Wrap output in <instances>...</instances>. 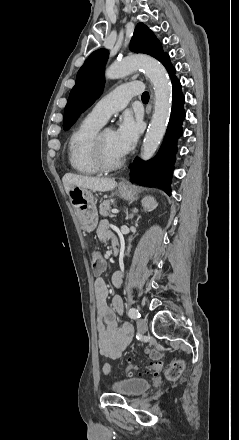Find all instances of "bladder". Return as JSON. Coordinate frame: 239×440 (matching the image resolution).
<instances>
[{"instance_id": "31cf9c89", "label": "bladder", "mask_w": 239, "mask_h": 440, "mask_svg": "<svg viewBox=\"0 0 239 440\" xmlns=\"http://www.w3.org/2000/svg\"><path fill=\"white\" fill-rule=\"evenodd\" d=\"M150 388V382L144 378H125L112 382L110 390L124 396H137Z\"/></svg>"}]
</instances>
